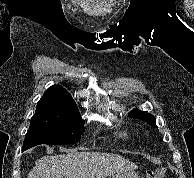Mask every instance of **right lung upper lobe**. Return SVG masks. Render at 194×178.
Returning a JSON list of instances; mask_svg holds the SVG:
<instances>
[{
  "label": "right lung upper lobe",
  "instance_id": "1",
  "mask_svg": "<svg viewBox=\"0 0 194 178\" xmlns=\"http://www.w3.org/2000/svg\"><path fill=\"white\" fill-rule=\"evenodd\" d=\"M38 105H49L68 112L79 113L69 92L60 85L49 87L39 100Z\"/></svg>",
  "mask_w": 194,
  "mask_h": 178
}]
</instances>
